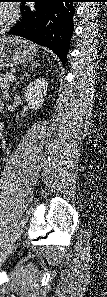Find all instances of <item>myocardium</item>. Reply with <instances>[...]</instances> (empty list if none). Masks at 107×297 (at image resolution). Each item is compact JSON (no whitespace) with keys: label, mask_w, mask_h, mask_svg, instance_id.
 I'll return each instance as SVG.
<instances>
[{"label":"myocardium","mask_w":107,"mask_h":297,"mask_svg":"<svg viewBox=\"0 0 107 297\" xmlns=\"http://www.w3.org/2000/svg\"><path fill=\"white\" fill-rule=\"evenodd\" d=\"M12 12L7 9V7L1 8V31H3L6 27V23L11 18Z\"/></svg>","instance_id":"myocardium-1"}]
</instances>
